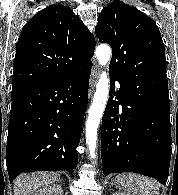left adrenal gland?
<instances>
[{"label": "left adrenal gland", "instance_id": "left-adrenal-gland-1", "mask_svg": "<svg viewBox=\"0 0 178 195\" xmlns=\"http://www.w3.org/2000/svg\"><path fill=\"white\" fill-rule=\"evenodd\" d=\"M114 185V182L112 181L111 183H110V186H113Z\"/></svg>", "mask_w": 178, "mask_h": 195}]
</instances>
